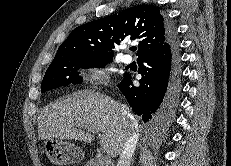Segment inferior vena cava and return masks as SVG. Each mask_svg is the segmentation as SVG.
I'll list each match as a JSON object with an SVG mask.
<instances>
[{
	"label": "inferior vena cava",
	"instance_id": "obj_1",
	"mask_svg": "<svg viewBox=\"0 0 231 166\" xmlns=\"http://www.w3.org/2000/svg\"><path fill=\"white\" fill-rule=\"evenodd\" d=\"M123 113L134 123L135 119L133 115L130 113L129 108L126 105H121ZM138 143V135L137 133H133L129 136L122 148L120 153L117 166H130L136 145Z\"/></svg>",
	"mask_w": 231,
	"mask_h": 166
}]
</instances>
